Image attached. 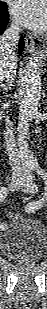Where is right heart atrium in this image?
Returning <instances> with one entry per match:
<instances>
[{
	"label": "right heart atrium",
	"mask_w": 47,
	"mask_h": 309,
	"mask_svg": "<svg viewBox=\"0 0 47 309\" xmlns=\"http://www.w3.org/2000/svg\"><path fill=\"white\" fill-rule=\"evenodd\" d=\"M14 29H17V30H18V27H17V26H14Z\"/></svg>",
	"instance_id": "1"
}]
</instances>
